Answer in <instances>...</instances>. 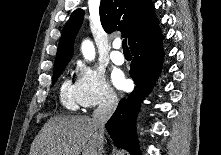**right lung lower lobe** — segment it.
I'll return each instance as SVG.
<instances>
[{"mask_svg": "<svg viewBox=\"0 0 221 155\" xmlns=\"http://www.w3.org/2000/svg\"><path fill=\"white\" fill-rule=\"evenodd\" d=\"M163 38L157 23L131 44L133 60L130 76L135 83V89L127 98L121 99L106 124V129L113 141L133 155L139 154L135 136V119L142 99L151 91L161 71Z\"/></svg>", "mask_w": 221, "mask_h": 155, "instance_id": "1", "label": "right lung lower lobe"}]
</instances>
